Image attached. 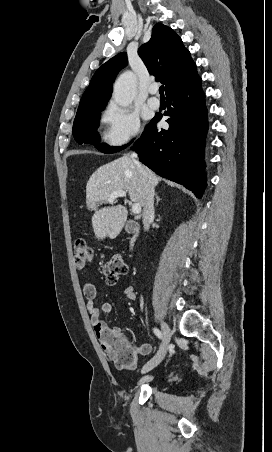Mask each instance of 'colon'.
I'll return each mask as SVG.
<instances>
[{
	"instance_id": "colon-1",
	"label": "colon",
	"mask_w": 272,
	"mask_h": 452,
	"mask_svg": "<svg viewBox=\"0 0 272 452\" xmlns=\"http://www.w3.org/2000/svg\"><path fill=\"white\" fill-rule=\"evenodd\" d=\"M74 264L83 268L94 260V252L85 240H77L73 246ZM128 265L121 254L113 255L103 266L102 272L107 284L116 283L120 275L126 274ZM105 351L119 369L133 370L136 367V348L127 336H110L106 339Z\"/></svg>"
}]
</instances>
